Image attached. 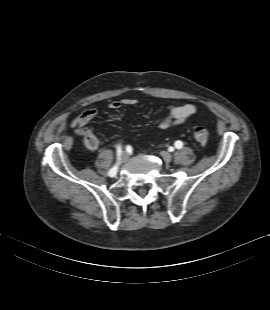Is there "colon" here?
Returning <instances> with one entry per match:
<instances>
[{"instance_id": "1", "label": "colon", "mask_w": 270, "mask_h": 310, "mask_svg": "<svg viewBox=\"0 0 270 310\" xmlns=\"http://www.w3.org/2000/svg\"><path fill=\"white\" fill-rule=\"evenodd\" d=\"M194 139L200 144H206L209 139V132L204 126H196L194 129Z\"/></svg>"}]
</instances>
